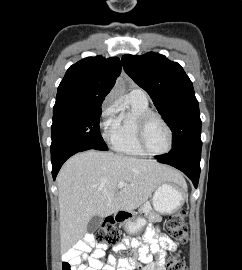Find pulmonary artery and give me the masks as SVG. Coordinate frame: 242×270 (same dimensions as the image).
<instances>
[{
    "label": "pulmonary artery",
    "instance_id": "pulmonary-artery-1",
    "mask_svg": "<svg viewBox=\"0 0 242 270\" xmlns=\"http://www.w3.org/2000/svg\"><path fill=\"white\" fill-rule=\"evenodd\" d=\"M130 95L135 97V98L141 99V100H147V95H146L145 91L141 88H136V89L132 90L130 92Z\"/></svg>",
    "mask_w": 242,
    "mask_h": 270
}]
</instances>
